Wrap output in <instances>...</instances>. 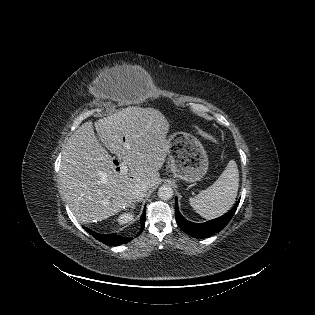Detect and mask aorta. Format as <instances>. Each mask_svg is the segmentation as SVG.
<instances>
[{"label":"aorta","mask_w":315,"mask_h":315,"mask_svg":"<svg viewBox=\"0 0 315 315\" xmlns=\"http://www.w3.org/2000/svg\"><path fill=\"white\" fill-rule=\"evenodd\" d=\"M158 196L162 200H170L173 196V189L168 185H162L158 189Z\"/></svg>","instance_id":"obj_1"}]
</instances>
